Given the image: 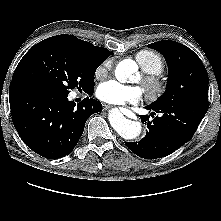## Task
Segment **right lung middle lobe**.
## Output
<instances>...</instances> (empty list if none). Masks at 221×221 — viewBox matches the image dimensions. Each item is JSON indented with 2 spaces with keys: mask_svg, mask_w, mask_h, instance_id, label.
<instances>
[{
  "mask_svg": "<svg viewBox=\"0 0 221 221\" xmlns=\"http://www.w3.org/2000/svg\"><path fill=\"white\" fill-rule=\"evenodd\" d=\"M99 65L66 44L45 39L24 55L12 80L68 95L75 87L94 88Z\"/></svg>",
  "mask_w": 221,
  "mask_h": 221,
  "instance_id": "1",
  "label": "right lung middle lobe"
}]
</instances>
